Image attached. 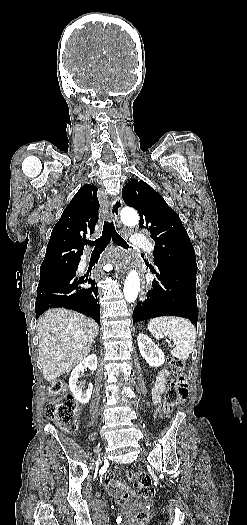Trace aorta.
Returning a JSON list of instances; mask_svg holds the SVG:
<instances>
[{"label": "aorta", "instance_id": "aorta-1", "mask_svg": "<svg viewBox=\"0 0 247 525\" xmlns=\"http://www.w3.org/2000/svg\"><path fill=\"white\" fill-rule=\"evenodd\" d=\"M121 220L126 226L133 227L139 222L138 213L132 208H123L121 210ZM140 291V277L136 270L129 272L124 283V297L127 302H134Z\"/></svg>", "mask_w": 247, "mask_h": 525}]
</instances>
